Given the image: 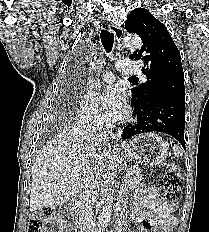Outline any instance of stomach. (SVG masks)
Here are the masks:
<instances>
[{
  "mask_svg": "<svg viewBox=\"0 0 209 232\" xmlns=\"http://www.w3.org/2000/svg\"><path fill=\"white\" fill-rule=\"evenodd\" d=\"M119 150L128 159L156 167L160 166L167 158L168 143L156 134L147 133L123 144Z\"/></svg>",
  "mask_w": 209,
  "mask_h": 232,
  "instance_id": "1",
  "label": "stomach"
}]
</instances>
